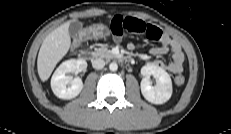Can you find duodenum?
Here are the masks:
<instances>
[{
    "instance_id": "1",
    "label": "duodenum",
    "mask_w": 231,
    "mask_h": 134,
    "mask_svg": "<svg viewBox=\"0 0 231 134\" xmlns=\"http://www.w3.org/2000/svg\"><path fill=\"white\" fill-rule=\"evenodd\" d=\"M79 57L84 60H88L92 57L91 53L87 50H82L79 52ZM119 59L129 63L131 61V57L129 56H117Z\"/></svg>"
}]
</instances>
